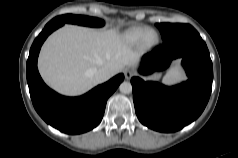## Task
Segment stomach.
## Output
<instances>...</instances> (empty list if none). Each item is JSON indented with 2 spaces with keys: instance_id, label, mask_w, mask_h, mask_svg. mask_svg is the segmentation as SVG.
<instances>
[{
  "instance_id": "stomach-1",
  "label": "stomach",
  "mask_w": 238,
  "mask_h": 158,
  "mask_svg": "<svg viewBox=\"0 0 238 158\" xmlns=\"http://www.w3.org/2000/svg\"><path fill=\"white\" fill-rule=\"evenodd\" d=\"M150 78L153 79V80H158L160 78V74L155 73Z\"/></svg>"
}]
</instances>
